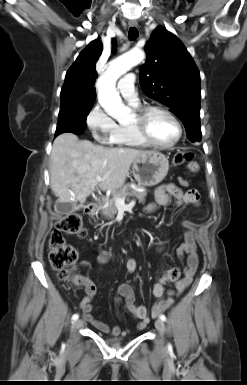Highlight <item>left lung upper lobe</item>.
I'll return each instance as SVG.
<instances>
[{
  "instance_id": "1",
  "label": "left lung upper lobe",
  "mask_w": 247,
  "mask_h": 385,
  "mask_svg": "<svg viewBox=\"0 0 247 385\" xmlns=\"http://www.w3.org/2000/svg\"><path fill=\"white\" fill-rule=\"evenodd\" d=\"M147 60L140 69L144 93L168 106L185 126L190 141H201L200 74L181 41L157 27L145 46Z\"/></svg>"
}]
</instances>
